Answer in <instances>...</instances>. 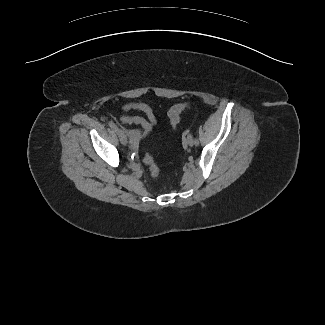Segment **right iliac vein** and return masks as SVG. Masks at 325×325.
Wrapping results in <instances>:
<instances>
[{
	"label": "right iliac vein",
	"instance_id": "right-iliac-vein-1",
	"mask_svg": "<svg viewBox=\"0 0 325 325\" xmlns=\"http://www.w3.org/2000/svg\"><path fill=\"white\" fill-rule=\"evenodd\" d=\"M117 134H118L120 142L123 145H126L127 144V137H126L125 133L122 130L119 129Z\"/></svg>",
	"mask_w": 325,
	"mask_h": 325
}]
</instances>
